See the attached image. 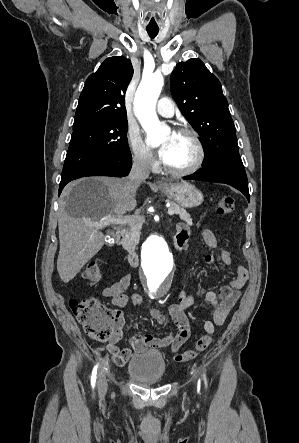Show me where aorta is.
Returning a JSON list of instances; mask_svg holds the SVG:
<instances>
[{
  "label": "aorta",
  "instance_id": "aorta-1",
  "mask_svg": "<svg viewBox=\"0 0 299 443\" xmlns=\"http://www.w3.org/2000/svg\"><path fill=\"white\" fill-rule=\"evenodd\" d=\"M163 87V76L153 74L144 77L134 98L135 115L147 133L152 144H159L169 132L156 114V102ZM173 268V255L165 239L159 234H151L142 250V270L147 281V293L151 298H159L166 292L165 280Z\"/></svg>",
  "mask_w": 299,
  "mask_h": 443
}]
</instances>
